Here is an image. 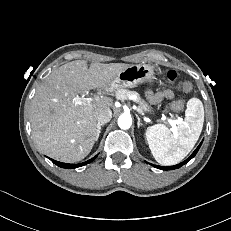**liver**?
<instances>
[{"mask_svg":"<svg viewBox=\"0 0 231 231\" xmlns=\"http://www.w3.org/2000/svg\"><path fill=\"white\" fill-rule=\"evenodd\" d=\"M129 64L76 60L54 70L36 90L30 106L32 136L41 151L58 161L84 159L97 137L96 111L113 106L108 97L79 105L74 99L91 89L114 90V78Z\"/></svg>","mask_w":231,"mask_h":231,"instance_id":"liver-1","label":"liver"}]
</instances>
